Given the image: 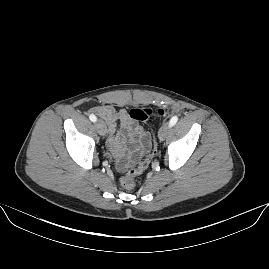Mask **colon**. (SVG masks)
I'll return each mask as SVG.
<instances>
[{
  "mask_svg": "<svg viewBox=\"0 0 269 269\" xmlns=\"http://www.w3.org/2000/svg\"><path fill=\"white\" fill-rule=\"evenodd\" d=\"M164 111L161 108H141L133 107L130 110V117L136 121H148L149 117L152 115H163ZM150 146L147 150L143 151L138 162L137 167L130 168L126 173L120 178L121 186L126 190H132L136 185V177L144 172L149 166L151 159L155 154V146L149 139Z\"/></svg>",
  "mask_w": 269,
  "mask_h": 269,
  "instance_id": "1",
  "label": "colon"
}]
</instances>
